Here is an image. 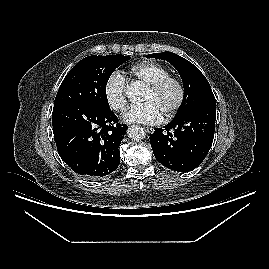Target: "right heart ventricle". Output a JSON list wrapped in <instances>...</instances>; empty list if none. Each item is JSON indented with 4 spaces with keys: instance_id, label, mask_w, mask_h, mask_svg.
Here are the masks:
<instances>
[{
    "instance_id": "1",
    "label": "right heart ventricle",
    "mask_w": 269,
    "mask_h": 269,
    "mask_svg": "<svg viewBox=\"0 0 269 269\" xmlns=\"http://www.w3.org/2000/svg\"><path fill=\"white\" fill-rule=\"evenodd\" d=\"M129 74L133 81L142 82L149 86L159 79L170 75V70L160 63L146 61L132 66Z\"/></svg>"
}]
</instances>
